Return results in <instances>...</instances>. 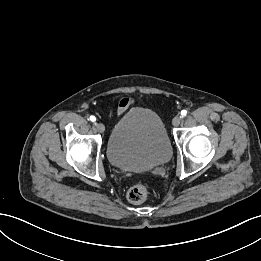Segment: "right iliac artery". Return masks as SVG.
<instances>
[{
	"instance_id": "1",
	"label": "right iliac artery",
	"mask_w": 261,
	"mask_h": 261,
	"mask_svg": "<svg viewBox=\"0 0 261 261\" xmlns=\"http://www.w3.org/2000/svg\"><path fill=\"white\" fill-rule=\"evenodd\" d=\"M90 121H92V122H95L96 121V117L95 116H90Z\"/></svg>"
}]
</instances>
